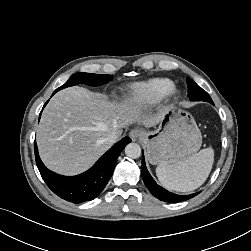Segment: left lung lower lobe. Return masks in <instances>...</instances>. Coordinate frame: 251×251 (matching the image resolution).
<instances>
[{"label":"left lung lower lobe","mask_w":251,"mask_h":251,"mask_svg":"<svg viewBox=\"0 0 251 251\" xmlns=\"http://www.w3.org/2000/svg\"><path fill=\"white\" fill-rule=\"evenodd\" d=\"M143 154V152H142ZM141 174L143 181L146 185V187L150 190V192L159 200L165 201V202H181L188 200L190 198H193L198 193L190 194V195H177L174 193H170L161 186L157 185L154 179L149 174L146 165H145V159L144 156H142V168H141Z\"/></svg>","instance_id":"obj_1"}]
</instances>
